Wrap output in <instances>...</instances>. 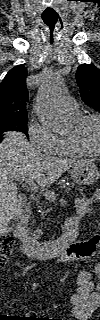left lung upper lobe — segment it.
<instances>
[{"mask_svg":"<svg viewBox=\"0 0 100 320\" xmlns=\"http://www.w3.org/2000/svg\"><path fill=\"white\" fill-rule=\"evenodd\" d=\"M76 80L83 101L100 112V70L93 64H82L77 69Z\"/></svg>","mask_w":100,"mask_h":320,"instance_id":"1","label":"left lung upper lobe"}]
</instances>
